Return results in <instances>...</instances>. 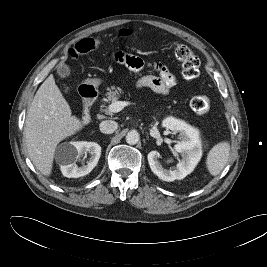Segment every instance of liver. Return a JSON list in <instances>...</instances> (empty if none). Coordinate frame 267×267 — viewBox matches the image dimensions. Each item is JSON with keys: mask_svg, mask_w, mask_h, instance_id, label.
I'll return each mask as SVG.
<instances>
[{"mask_svg": "<svg viewBox=\"0 0 267 267\" xmlns=\"http://www.w3.org/2000/svg\"><path fill=\"white\" fill-rule=\"evenodd\" d=\"M83 122L71 108L51 74L37 90L27 111L24 137L35 167L50 176L57 145L82 130Z\"/></svg>", "mask_w": 267, "mask_h": 267, "instance_id": "1", "label": "liver"}]
</instances>
